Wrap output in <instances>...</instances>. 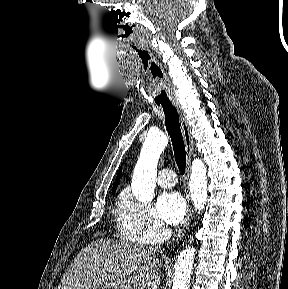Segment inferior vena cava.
I'll use <instances>...</instances> for the list:
<instances>
[{"label": "inferior vena cava", "instance_id": "obj_1", "mask_svg": "<svg viewBox=\"0 0 288 289\" xmlns=\"http://www.w3.org/2000/svg\"><path fill=\"white\" fill-rule=\"evenodd\" d=\"M172 236V230L169 227H163L161 230V235L158 240L159 245L157 247V250L161 249V245L164 243V241H167Z\"/></svg>", "mask_w": 288, "mask_h": 289}]
</instances>
